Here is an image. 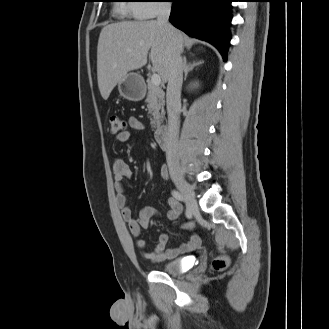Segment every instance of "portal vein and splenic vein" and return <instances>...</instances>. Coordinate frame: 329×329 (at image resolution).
<instances>
[{"instance_id":"18ae733b","label":"portal vein and splenic vein","mask_w":329,"mask_h":329,"mask_svg":"<svg viewBox=\"0 0 329 329\" xmlns=\"http://www.w3.org/2000/svg\"><path fill=\"white\" fill-rule=\"evenodd\" d=\"M154 86H159L161 84V77L157 73H153L150 81Z\"/></svg>"}]
</instances>
